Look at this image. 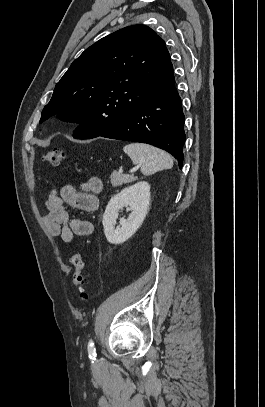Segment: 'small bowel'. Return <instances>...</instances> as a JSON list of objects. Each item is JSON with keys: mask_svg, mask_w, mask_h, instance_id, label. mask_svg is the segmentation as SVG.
Here are the masks:
<instances>
[{"mask_svg": "<svg viewBox=\"0 0 265 407\" xmlns=\"http://www.w3.org/2000/svg\"><path fill=\"white\" fill-rule=\"evenodd\" d=\"M103 187L98 177H90L80 183L78 191L73 184H64L53 189L45 203L47 213L42 216V223L49 235L60 236L62 241L70 245L74 236L87 237L93 232L90 221L71 215L67 206L85 212L98 209L97 194Z\"/></svg>", "mask_w": 265, "mask_h": 407, "instance_id": "1", "label": "small bowel"}]
</instances>
